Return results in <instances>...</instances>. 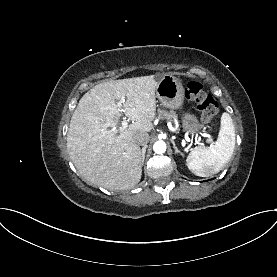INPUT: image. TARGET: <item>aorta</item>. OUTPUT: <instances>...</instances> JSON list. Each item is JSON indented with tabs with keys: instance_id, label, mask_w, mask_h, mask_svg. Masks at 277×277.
Listing matches in <instances>:
<instances>
[{
	"instance_id": "aorta-1",
	"label": "aorta",
	"mask_w": 277,
	"mask_h": 277,
	"mask_svg": "<svg viewBox=\"0 0 277 277\" xmlns=\"http://www.w3.org/2000/svg\"><path fill=\"white\" fill-rule=\"evenodd\" d=\"M153 150L157 154H162L166 151V144L164 141H157L153 145Z\"/></svg>"
}]
</instances>
